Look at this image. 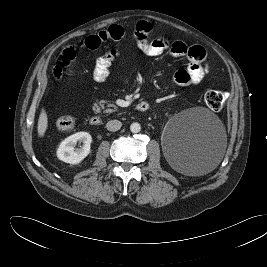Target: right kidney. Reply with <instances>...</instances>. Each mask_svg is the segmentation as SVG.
Masks as SVG:
<instances>
[{
	"instance_id": "1",
	"label": "right kidney",
	"mask_w": 267,
	"mask_h": 267,
	"mask_svg": "<svg viewBox=\"0 0 267 267\" xmlns=\"http://www.w3.org/2000/svg\"><path fill=\"white\" fill-rule=\"evenodd\" d=\"M77 142H82L83 146L79 149H75ZM92 137L87 132H77L61 142L57 149V157L59 160L70 163H80L90 153V145Z\"/></svg>"
}]
</instances>
